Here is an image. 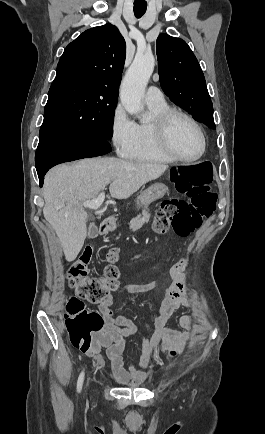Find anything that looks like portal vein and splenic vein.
Segmentation results:
<instances>
[{
  "mask_svg": "<svg viewBox=\"0 0 265 434\" xmlns=\"http://www.w3.org/2000/svg\"><path fill=\"white\" fill-rule=\"evenodd\" d=\"M105 198L104 192H101L99 196H97L96 200H86V202H83L84 208H90V210H98L100 208L101 204H103Z\"/></svg>",
  "mask_w": 265,
  "mask_h": 434,
  "instance_id": "1",
  "label": "portal vein and splenic vein"
}]
</instances>
